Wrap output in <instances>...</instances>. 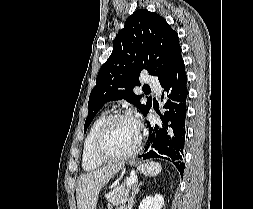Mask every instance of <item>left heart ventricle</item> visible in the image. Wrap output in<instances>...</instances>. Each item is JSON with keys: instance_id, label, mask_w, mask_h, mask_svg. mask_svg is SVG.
<instances>
[{"instance_id": "obj_1", "label": "left heart ventricle", "mask_w": 253, "mask_h": 209, "mask_svg": "<svg viewBox=\"0 0 253 209\" xmlns=\"http://www.w3.org/2000/svg\"><path fill=\"white\" fill-rule=\"evenodd\" d=\"M137 137L138 128L132 119L115 121L105 134L102 151L109 156L124 155L135 146Z\"/></svg>"}]
</instances>
